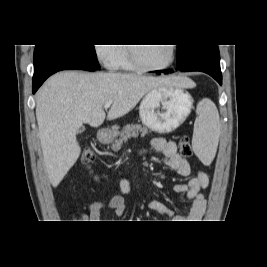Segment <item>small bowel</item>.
I'll use <instances>...</instances> for the list:
<instances>
[{"mask_svg":"<svg viewBox=\"0 0 267 267\" xmlns=\"http://www.w3.org/2000/svg\"><path fill=\"white\" fill-rule=\"evenodd\" d=\"M150 146L152 150L164 156L165 164L175 170L177 174L180 176H191L186 184H177L173 188L174 192L178 194H186L187 198L191 201V207L184 216H176L172 209L157 200H151L148 203V207L159 215L170 220H176L175 222H196L203 216L205 211L206 202L201 189L207 187L209 183L208 175L202 170H197L192 174L190 164L177 152L176 144L173 141L155 138L151 141ZM146 152L147 150L142 151V153ZM119 187L123 194L130 195L132 193L131 182L127 177L120 179ZM107 208L114 211L115 217H122L126 209L124 197L122 195H113L107 201H93L81 215V220L85 222H98L101 213Z\"/></svg>","mask_w":267,"mask_h":267,"instance_id":"obj_1","label":"small bowel"}]
</instances>
